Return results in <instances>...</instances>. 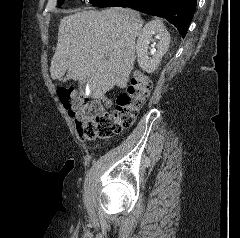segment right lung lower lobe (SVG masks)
<instances>
[{
    "label": "right lung lower lobe",
    "mask_w": 240,
    "mask_h": 238,
    "mask_svg": "<svg viewBox=\"0 0 240 238\" xmlns=\"http://www.w3.org/2000/svg\"><path fill=\"white\" fill-rule=\"evenodd\" d=\"M197 0H97V7H130L167 19L185 37L196 9Z\"/></svg>",
    "instance_id": "obj_1"
}]
</instances>
